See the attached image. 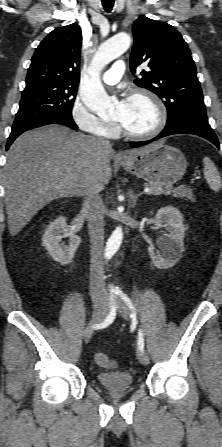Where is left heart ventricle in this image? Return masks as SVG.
<instances>
[{
	"label": "left heart ventricle",
	"mask_w": 222,
	"mask_h": 447,
	"mask_svg": "<svg viewBox=\"0 0 222 447\" xmlns=\"http://www.w3.org/2000/svg\"><path fill=\"white\" fill-rule=\"evenodd\" d=\"M114 117L133 133L148 132L156 126L158 121L156 108L143 97L128 99L125 107L118 105Z\"/></svg>",
	"instance_id": "obj_1"
}]
</instances>
